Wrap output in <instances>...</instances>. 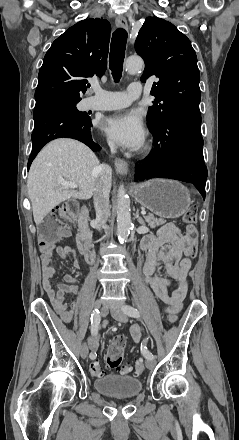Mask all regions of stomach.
Returning a JSON list of instances; mask_svg holds the SVG:
<instances>
[{
  "label": "stomach",
  "mask_w": 239,
  "mask_h": 440,
  "mask_svg": "<svg viewBox=\"0 0 239 440\" xmlns=\"http://www.w3.org/2000/svg\"><path fill=\"white\" fill-rule=\"evenodd\" d=\"M131 192L138 204L161 218H180L192 204L189 190L176 180H147Z\"/></svg>",
  "instance_id": "stomach-1"
}]
</instances>
